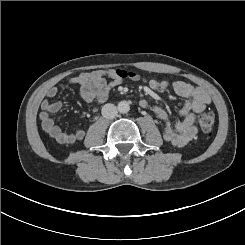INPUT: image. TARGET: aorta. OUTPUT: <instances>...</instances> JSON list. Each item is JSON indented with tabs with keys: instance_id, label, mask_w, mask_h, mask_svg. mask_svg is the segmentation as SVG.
I'll list each match as a JSON object with an SVG mask.
<instances>
[{
	"instance_id": "aorta-1",
	"label": "aorta",
	"mask_w": 245,
	"mask_h": 245,
	"mask_svg": "<svg viewBox=\"0 0 245 245\" xmlns=\"http://www.w3.org/2000/svg\"><path fill=\"white\" fill-rule=\"evenodd\" d=\"M117 108H118V111H119L120 113L125 114V113L129 112V110H130V105H129V103H128L127 101H120V102L118 103Z\"/></svg>"
}]
</instances>
